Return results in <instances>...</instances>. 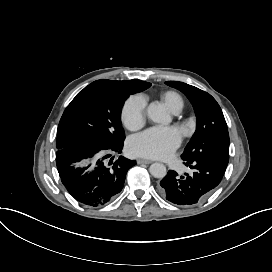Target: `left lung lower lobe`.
<instances>
[{"label": "left lung lower lobe", "mask_w": 272, "mask_h": 272, "mask_svg": "<svg viewBox=\"0 0 272 272\" xmlns=\"http://www.w3.org/2000/svg\"><path fill=\"white\" fill-rule=\"evenodd\" d=\"M195 169L192 177H177L170 170L160 182V193L174 204L191 206L204 199L221 182L226 167L209 160L186 161Z\"/></svg>", "instance_id": "1"}]
</instances>
